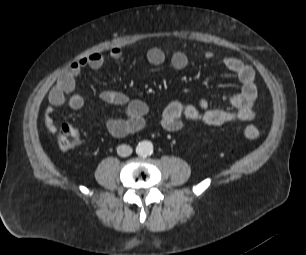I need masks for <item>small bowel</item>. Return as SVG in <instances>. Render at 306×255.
Here are the masks:
<instances>
[{"instance_id": "small-bowel-1", "label": "small bowel", "mask_w": 306, "mask_h": 255, "mask_svg": "<svg viewBox=\"0 0 306 255\" xmlns=\"http://www.w3.org/2000/svg\"><path fill=\"white\" fill-rule=\"evenodd\" d=\"M109 56L113 60H120L123 52L114 47ZM150 64L159 66L166 59V53L158 47H152L146 54ZM206 60L220 62L229 72L239 80L241 88L229 96L228 109H211L208 101L200 99L196 104H185L180 101L170 102L163 110L160 118L161 126L171 132L183 129L186 121H200L210 126H219L235 121H250L255 118L253 109L257 98L255 72L252 67L232 56L220 57L212 51L203 53ZM170 65L176 70L184 69L188 64V57L183 51H175L169 58ZM106 63L102 53H92L80 58L67 66L57 77L54 86L48 93L50 106L45 111L44 124L48 131L55 132L57 127L52 117L56 107L67 104L71 109L79 110L84 105V98L75 93L76 78L83 69L100 70ZM101 101L124 109V117L109 119L105 122L107 131L114 137H123L141 130L145 125L148 113L147 104L138 99H130L125 93L116 90H104L99 95Z\"/></svg>"}]
</instances>
